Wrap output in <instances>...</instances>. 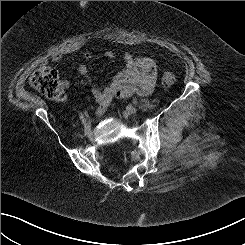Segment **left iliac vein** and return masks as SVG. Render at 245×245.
Masks as SVG:
<instances>
[{"instance_id":"1","label":"left iliac vein","mask_w":245,"mask_h":245,"mask_svg":"<svg viewBox=\"0 0 245 245\" xmlns=\"http://www.w3.org/2000/svg\"><path fill=\"white\" fill-rule=\"evenodd\" d=\"M137 108L136 107H133V106H128L127 108H126V112L128 113V114H136L137 113Z\"/></svg>"}]
</instances>
